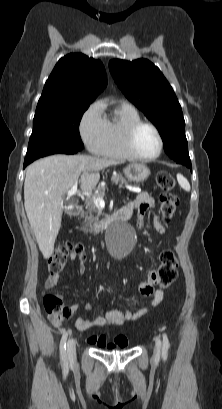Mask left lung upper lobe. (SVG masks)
Returning a JSON list of instances; mask_svg holds the SVG:
<instances>
[{
	"label": "left lung upper lobe",
	"mask_w": 222,
	"mask_h": 409,
	"mask_svg": "<svg viewBox=\"0 0 222 409\" xmlns=\"http://www.w3.org/2000/svg\"><path fill=\"white\" fill-rule=\"evenodd\" d=\"M109 69L125 96L157 127L167 155L190 159L181 106L159 68L146 59H113Z\"/></svg>",
	"instance_id": "left-lung-upper-lobe-1"
}]
</instances>
